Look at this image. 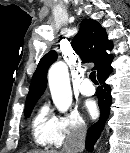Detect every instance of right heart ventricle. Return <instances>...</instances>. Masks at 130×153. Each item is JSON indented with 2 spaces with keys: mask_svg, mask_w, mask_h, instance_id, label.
Masks as SVG:
<instances>
[{
  "mask_svg": "<svg viewBox=\"0 0 130 153\" xmlns=\"http://www.w3.org/2000/svg\"><path fill=\"white\" fill-rule=\"evenodd\" d=\"M56 117L49 111L47 105L41 106L31 122V134L38 147L50 148L55 144Z\"/></svg>",
  "mask_w": 130,
  "mask_h": 153,
  "instance_id": "e07e8e85",
  "label": "right heart ventricle"
}]
</instances>
